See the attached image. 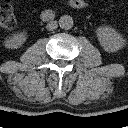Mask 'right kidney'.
I'll return each instance as SVG.
<instances>
[{"label":"right kidney","mask_w":128,"mask_h":128,"mask_svg":"<svg viewBox=\"0 0 128 128\" xmlns=\"http://www.w3.org/2000/svg\"><path fill=\"white\" fill-rule=\"evenodd\" d=\"M27 40V35L24 32L15 33L6 41L4 42V45L8 49H17L21 47Z\"/></svg>","instance_id":"right-kidney-1"}]
</instances>
